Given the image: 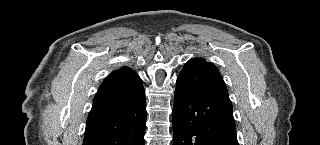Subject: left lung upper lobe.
I'll return each mask as SVG.
<instances>
[{
  "label": "left lung upper lobe",
  "mask_w": 320,
  "mask_h": 145,
  "mask_svg": "<svg viewBox=\"0 0 320 145\" xmlns=\"http://www.w3.org/2000/svg\"><path fill=\"white\" fill-rule=\"evenodd\" d=\"M195 59H198V60H203V61H205V59H204V58H195Z\"/></svg>",
  "instance_id": "1"
}]
</instances>
